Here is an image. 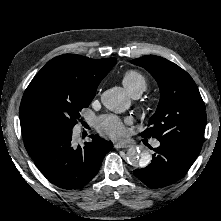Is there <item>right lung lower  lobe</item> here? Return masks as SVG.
Masks as SVG:
<instances>
[{
    "label": "right lung lower lobe",
    "mask_w": 221,
    "mask_h": 221,
    "mask_svg": "<svg viewBox=\"0 0 221 221\" xmlns=\"http://www.w3.org/2000/svg\"><path fill=\"white\" fill-rule=\"evenodd\" d=\"M91 142L74 145L72 129L47 127L23 136L25 148L42 174L63 189H80L98 173L113 144L91 135Z\"/></svg>",
    "instance_id": "obj_1"
}]
</instances>
